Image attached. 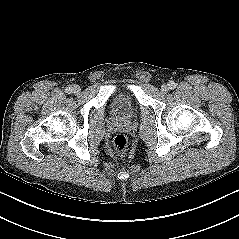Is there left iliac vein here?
<instances>
[{
  "mask_svg": "<svg viewBox=\"0 0 239 239\" xmlns=\"http://www.w3.org/2000/svg\"><path fill=\"white\" fill-rule=\"evenodd\" d=\"M168 90H169L168 85L163 84V85L161 86V92H162V93H166V92H168Z\"/></svg>",
  "mask_w": 239,
  "mask_h": 239,
  "instance_id": "1",
  "label": "left iliac vein"
}]
</instances>
